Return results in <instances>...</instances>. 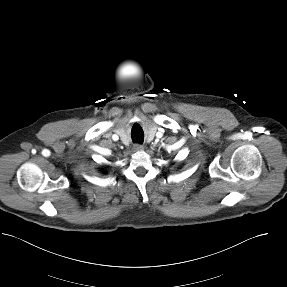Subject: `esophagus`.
<instances>
[{
    "instance_id": "obj_1",
    "label": "esophagus",
    "mask_w": 287,
    "mask_h": 287,
    "mask_svg": "<svg viewBox=\"0 0 287 287\" xmlns=\"http://www.w3.org/2000/svg\"><path fill=\"white\" fill-rule=\"evenodd\" d=\"M143 149V146L141 144H135L133 146V151H140Z\"/></svg>"
}]
</instances>
